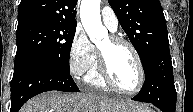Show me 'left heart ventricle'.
I'll return each instance as SVG.
<instances>
[{"instance_id":"1","label":"left heart ventricle","mask_w":193,"mask_h":112,"mask_svg":"<svg viewBox=\"0 0 193 112\" xmlns=\"http://www.w3.org/2000/svg\"><path fill=\"white\" fill-rule=\"evenodd\" d=\"M99 50L105 55L109 72L114 81L124 90H133L138 83V67L131 50L125 45H113L104 41Z\"/></svg>"}]
</instances>
